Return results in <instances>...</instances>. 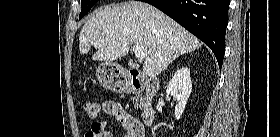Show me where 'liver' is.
<instances>
[{"label":"liver","instance_id":"1","mask_svg":"<svg viewBox=\"0 0 280 137\" xmlns=\"http://www.w3.org/2000/svg\"><path fill=\"white\" fill-rule=\"evenodd\" d=\"M138 44L146 57L143 73L155 77L179 55L201 48V42L157 8L143 2L129 1L106 7L95 13L82 27L80 54L92 47V59L112 62Z\"/></svg>","mask_w":280,"mask_h":137}]
</instances>
